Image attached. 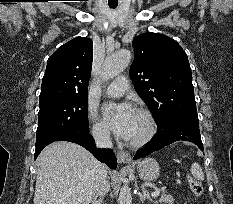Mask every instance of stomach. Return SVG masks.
Masks as SVG:
<instances>
[{"mask_svg":"<svg viewBox=\"0 0 233 204\" xmlns=\"http://www.w3.org/2000/svg\"><path fill=\"white\" fill-rule=\"evenodd\" d=\"M139 176L144 181H154L160 173L159 164L152 158H146L137 165Z\"/></svg>","mask_w":233,"mask_h":204,"instance_id":"obj_1","label":"stomach"}]
</instances>
